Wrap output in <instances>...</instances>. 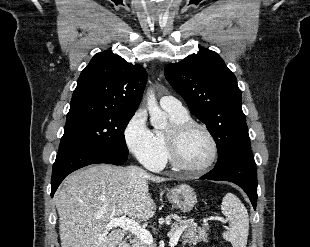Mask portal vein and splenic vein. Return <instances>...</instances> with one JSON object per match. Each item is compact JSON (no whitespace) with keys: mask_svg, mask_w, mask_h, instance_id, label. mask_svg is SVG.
<instances>
[{"mask_svg":"<svg viewBox=\"0 0 310 247\" xmlns=\"http://www.w3.org/2000/svg\"><path fill=\"white\" fill-rule=\"evenodd\" d=\"M114 227H120L123 230L131 232L147 245H151L153 243V237L148 230L142 228L137 222L126 218L125 216L112 219L106 226L107 229H112ZM182 232L183 229L178 228L173 234L169 235V245L171 247H174L177 244Z\"/></svg>","mask_w":310,"mask_h":247,"instance_id":"18ae733b","label":"portal vein and splenic vein"}]
</instances>
